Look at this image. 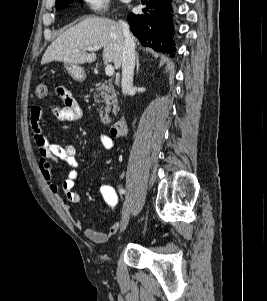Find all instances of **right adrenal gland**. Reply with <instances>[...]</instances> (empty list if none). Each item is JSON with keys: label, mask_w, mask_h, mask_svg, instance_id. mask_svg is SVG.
<instances>
[{"label": "right adrenal gland", "mask_w": 267, "mask_h": 301, "mask_svg": "<svg viewBox=\"0 0 267 301\" xmlns=\"http://www.w3.org/2000/svg\"><path fill=\"white\" fill-rule=\"evenodd\" d=\"M139 66H140V63H139V54L136 53V73H138V71H139Z\"/></svg>", "instance_id": "2a0ac1e0"}]
</instances>
